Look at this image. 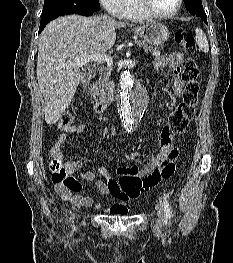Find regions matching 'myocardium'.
Segmentation results:
<instances>
[{"label":"myocardium","instance_id":"myocardium-1","mask_svg":"<svg viewBox=\"0 0 233 263\" xmlns=\"http://www.w3.org/2000/svg\"><path fill=\"white\" fill-rule=\"evenodd\" d=\"M182 1L183 0H177V4L175 9L170 12V13H166V14H162L159 13L157 11H155L152 6L150 5L149 0H138V3L140 5V7L150 16L153 18H157V19H168L171 17H174L180 10L181 5H182Z\"/></svg>","mask_w":233,"mask_h":263}]
</instances>
